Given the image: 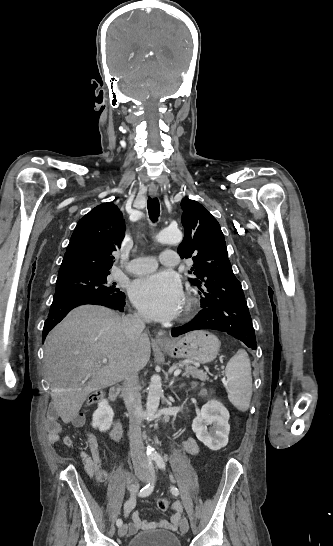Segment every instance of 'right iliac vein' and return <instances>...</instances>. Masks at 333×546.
Masks as SVG:
<instances>
[{"label": "right iliac vein", "instance_id": "1", "mask_svg": "<svg viewBox=\"0 0 333 546\" xmlns=\"http://www.w3.org/2000/svg\"><path fill=\"white\" fill-rule=\"evenodd\" d=\"M136 476H137V478H138L139 480H141V481H146L147 478H148L146 472H144V471H138V472H136ZM127 529H128L127 525H126V524H123V525L120 526L119 529H118V535H119L120 537H124V536L126 535V533H127Z\"/></svg>", "mask_w": 333, "mask_h": 546}]
</instances>
